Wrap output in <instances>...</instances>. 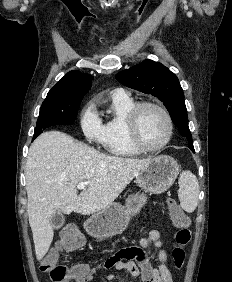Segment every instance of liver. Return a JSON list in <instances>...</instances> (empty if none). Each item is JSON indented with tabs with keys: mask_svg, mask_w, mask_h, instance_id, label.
<instances>
[{
	"mask_svg": "<svg viewBox=\"0 0 232 282\" xmlns=\"http://www.w3.org/2000/svg\"><path fill=\"white\" fill-rule=\"evenodd\" d=\"M149 161L103 154L61 131L41 134L30 146L25 169L37 259L53 241V213L90 215L105 209ZM79 182L89 184L78 195Z\"/></svg>",
	"mask_w": 232,
	"mask_h": 282,
	"instance_id": "liver-1",
	"label": "liver"
}]
</instances>
